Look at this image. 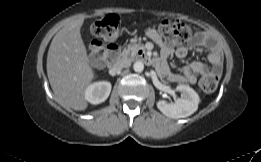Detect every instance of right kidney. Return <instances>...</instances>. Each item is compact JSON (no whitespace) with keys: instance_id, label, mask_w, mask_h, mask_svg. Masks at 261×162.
Wrapping results in <instances>:
<instances>
[{"instance_id":"obj_1","label":"right kidney","mask_w":261,"mask_h":162,"mask_svg":"<svg viewBox=\"0 0 261 162\" xmlns=\"http://www.w3.org/2000/svg\"><path fill=\"white\" fill-rule=\"evenodd\" d=\"M111 88V83L108 81L94 82L86 88L85 99L91 104H100L109 97Z\"/></svg>"}]
</instances>
